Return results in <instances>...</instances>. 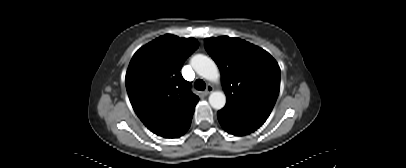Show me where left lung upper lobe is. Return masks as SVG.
Here are the masks:
<instances>
[{
  "instance_id": "left-lung-upper-lobe-1",
  "label": "left lung upper lobe",
  "mask_w": 406,
  "mask_h": 168,
  "mask_svg": "<svg viewBox=\"0 0 406 168\" xmlns=\"http://www.w3.org/2000/svg\"><path fill=\"white\" fill-rule=\"evenodd\" d=\"M204 45L221 71L225 106L267 119L280 88V68L275 59L239 38H206Z\"/></svg>"
}]
</instances>
